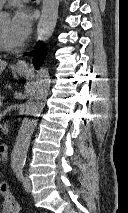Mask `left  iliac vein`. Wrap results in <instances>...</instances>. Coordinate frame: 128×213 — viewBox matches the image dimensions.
I'll list each match as a JSON object with an SVG mask.
<instances>
[{
	"mask_svg": "<svg viewBox=\"0 0 128 213\" xmlns=\"http://www.w3.org/2000/svg\"><path fill=\"white\" fill-rule=\"evenodd\" d=\"M23 186L27 192H30L32 189L31 180L27 176L23 177Z\"/></svg>",
	"mask_w": 128,
	"mask_h": 213,
	"instance_id": "4c4485c4",
	"label": "left iliac vein"
}]
</instances>
